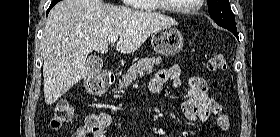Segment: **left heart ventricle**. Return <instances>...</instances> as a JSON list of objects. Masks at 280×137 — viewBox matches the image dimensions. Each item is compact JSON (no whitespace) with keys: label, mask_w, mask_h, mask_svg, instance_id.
Listing matches in <instances>:
<instances>
[{"label":"left heart ventricle","mask_w":280,"mask_h":137,"mask_svg":"<svg viewBox=\"0 0 280 137\" xmlns=\"http://www.w3.org/2000/svg\"><path fill=\"white\" fill-rule=\"evenodd\" d=\"M172 7L192 6L196 3V0H168Z\"/></svg>","instance_id":"b2bd125f"}]
</instances>
